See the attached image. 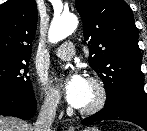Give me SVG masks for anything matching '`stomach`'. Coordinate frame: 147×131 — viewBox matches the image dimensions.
<instances>
[{
  "mask_svg": "<svg viewBox=\"0 0 147 131\" xmlns=\"http://www.w3.org/2000/svg\"><path fill=\"white\" fill-rule=\"evenodd\" d=\"M83 131H99L97 128H90V127H87L85 128Z\"/></svg>",
  "mask_w": 147,
  "mask_h": 131,
  "instance_id": "stomach-1",
  "label": "stomach"
}]
</instances>
